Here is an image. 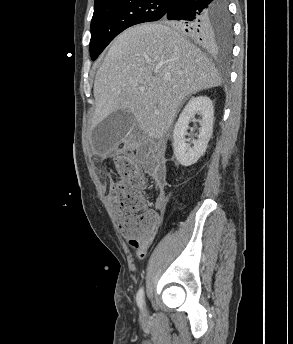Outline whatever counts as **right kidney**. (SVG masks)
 <instances>
[{"instance_id": "obj_1", "label": "right kidney", "mask_w": 293, "mask_h": 344, "mask_svg": "<svg viewBox=\"0 0 293 344\" xmlns=\"http://www.w3.org/2000/svg\"><path fill=\"white\" fill-rule=\"evenodd\" d=\"M207 96L192 97L181 112L173 131L174 156L182 166H191L205 153L213 132L214 109ZM200 115L199 134L193 140V146L186 143L189 123L195 115Z\"/></svg>"}]
</instances>
